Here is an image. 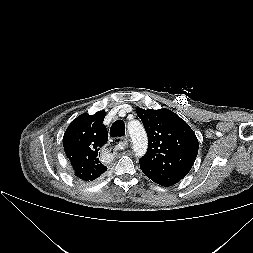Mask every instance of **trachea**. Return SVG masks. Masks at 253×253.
<instances>
[{
    "label": "trachea",
    "instance_id": "trachea-1",
    "mask_svg": "<svg viewBox=\"0 0 253 253\" xmlns=\"http://www.w3.org/2000/svg\"><path fill=\"white\" fill-rule=\"evenodd\" d=\"M125 135V124L121 120L115 121L110 128L111 137H121Z\"/></svg>",
    "mask_w": 253,
    "mask_h": 253
}]
</instances>
